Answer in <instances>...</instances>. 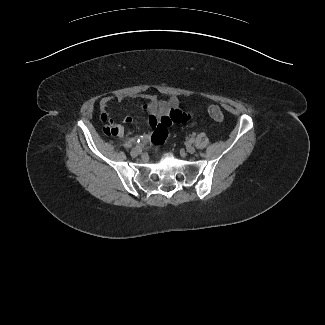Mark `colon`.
Segmentation results:
<instances>
[{
  "label": "colon",
  "instance_id": "obj_1",
  "mask_svg": "<svg viewBox=\"0 0 325 325\" xmlns=\"http://www.w3.org/2000/svg\"><path fill=\"white\" fill-rule=\"evenodd\" d=\"M207 110H208V113L210 114V116L218 121V122H221L223 121L224 119V116H223V113L221 112L220 108L216 105H209L207 107ZM104 132L107 134V135H116L117 133V130L115 128H106L104 130Z\"/></svg>",
  "mask_w": 325,
  "mask_h": 325
}]
</instances>
